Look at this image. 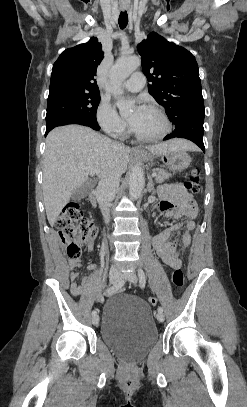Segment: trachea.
<instances>
[{
    "label": "trachea",
    "mask_w": 247,
    "mask_h": 407,
    "mask_svg": "<svg viewBox=\"0 0 247 407\" xmlns=\"http://www.w3.org/2000/svg\"><path fill=\"white\" fill-rule=\"evenodd\" d=\"M128 23V14L126 11L121 12L119 15V26L121 29H124Z\"/></svg>",
    "instance_id": "3493384b"
}]
</instances>
